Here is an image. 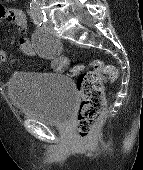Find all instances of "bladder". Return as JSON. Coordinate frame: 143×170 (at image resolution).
<instances>
[{
    "label": "bladder",
    "mask_w": 143,
    "mask_h": 170,
    "mask_svg": "<svg viewBox=\"0 0 143 170\" xmlns=\"http://www.w3.org/2000/svg\"><path fill=\"white\" fill-rule=\"evenodd\" d=\"M7 91L22 115L45 124L63 125L73 114L78 92L67 76L48 72H17Z\"/></svg>",
    "instance_id": "1"
}]
</instances>
